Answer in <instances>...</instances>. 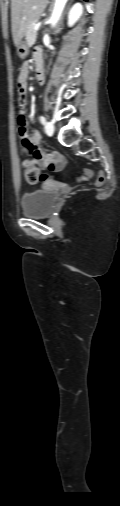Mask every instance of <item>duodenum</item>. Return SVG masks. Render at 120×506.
I'll use <instances>...</instances> for the list:
<instances>
[{
	"label": "duodenum",
	"mask_w": 120,
	"mask_h": 506,
	"mask_svg": "<svg viewBox=\"0 0 120 506\" xmlns=\"http://www.w3.org/2000/svg\"><path fill=\"white\" fill-rule=\"evenodd\" d=\"M35 63H36L37 66L41 65V63H42V54L37 53L35 55ZM40 78H43V72H40V74H39V80H40V82H42L43 79L41 80Z\"/></svg>",
	"instance_id": "410a0bca"
}]
</instances>
